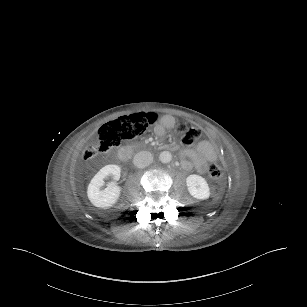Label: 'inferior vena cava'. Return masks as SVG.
Returning <instances> with one entry per match:
<instances>
[{"label":"inferior vena cava","mask_w":307,"mask_h":307,"mask_svg":"<svg viewBox=\"0 0 307 307\" xmlns=\"http://www.w3.org/2000/svg\"><path fill=\"white\" fill-rule=\"evenodd\" d=\"M147 157H148L149 161H147V160L144 158V156H143V154H142L141 152H140V153H137V154L134 156V158H133V164H134L137 168L143 169V168H145V167L149 164V162H150V160H151V155H150V154H147Z\"/></svg>","instance_id":"obj_1"}]
</instances>
